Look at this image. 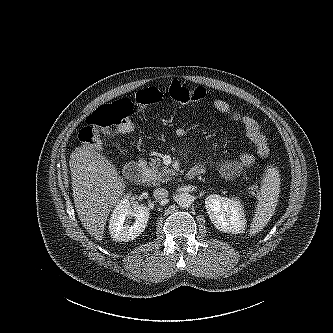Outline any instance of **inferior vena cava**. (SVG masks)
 <instances>
[{"label":"inferior vena cava","mask_w":333,"mask_h":333,"mask_svg":"<svg viewBox=\"0 0 333 333\" xmlns=\"http://www.w3.org/2000/svg\"><path fill=\"white\" fill-rule=\"evenodd\" d=\"M168 194H169L168 191L164 188H157L153 191V196L157 200H162V199L168 197Z\"/></svg>","instance_id":"obj_1"}]
</instances>
